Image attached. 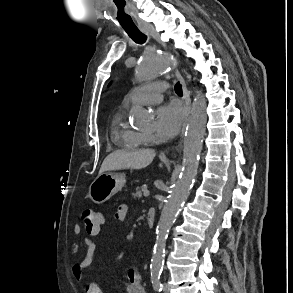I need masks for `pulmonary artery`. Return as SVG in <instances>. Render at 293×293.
<instances>
[{"mask_svg": "<svg viewBox=\"0 0 293 293\" xmlns=\"http://www.w3.org/2000/svg\"><path fill=\"white\" fill-rule=\"evenodd\" d=\"M163 82H154L135 89L129 96L130 104L149 105L162 99L163 91L166 89Z\"/></svg>", "mask_w": 293, "mask_h": 293, "instance_id": "1", "label": "pulmonary artery"}]
</instances>
